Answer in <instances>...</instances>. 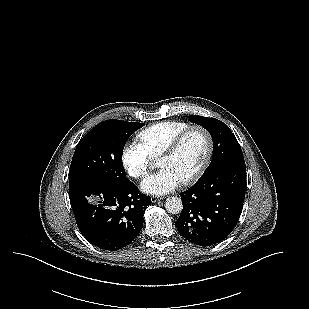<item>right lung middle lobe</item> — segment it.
<instances>
[{
	"label": "right lung middle lobe",
	"instance_id": "dd1d6c3e",
	"mask_svg": "<svg viewBox=\"0 0 309 309\" xmlns=\"http://www.w3.org/2000/svg\"><path fill=\"white\" fill-rule=\"evenodd\" d=\"M143 123L106 120L92 128L78 143L74 152L69 184L87 178H98L123 185L130 180L122 163L127 139Z\"/></svg>",
	"mask_w": 309,
	"mask_h": 309
}]
</instances>
